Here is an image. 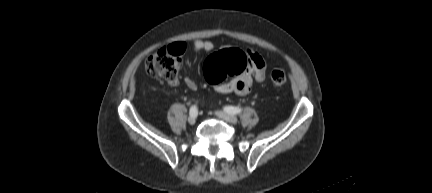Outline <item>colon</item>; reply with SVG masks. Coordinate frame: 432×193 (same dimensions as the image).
<instances>
[{"label": "colon", "mask_w": 432, "mask_h": 193, "mask_svg": "<svg viewBox=\"0 0 432 193\" xmlns=\"http://www.w3.org/2000/svg\"><path fill=\"white\" fill-rule=\"evenodd\" d=\"M184 48L180 44L165 46L151 55L144 64V70L151 76L160 77L168 82H175L182 67ZM250 66L246 52L237 48L222 49L208 57L204 64V73L212 84L223 82L227 77L241 75ZM274 86L287 82L286 72L276 69L271 72Z\"/></svg>", "instance_id": "1"}]
</instances>
